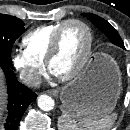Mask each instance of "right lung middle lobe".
Returning a JSON list of instances; mask_svg holds the SVG:
<instances>
[{"label":"right lung middle lobe","instance_id":"1","mask_svg":"<svg viewBox=\"0 0 130 130\" xmlns=\"http://www.w3.org/2000/svg\"><path fill=\"white\" fill-rule=\"evenodd\" d=\"M24 22L14 16L0 14V63L13 68L11 60L12 46L24 32Z\"/></svg>","mask_w":130,"mask_h":130}]
</instances>
